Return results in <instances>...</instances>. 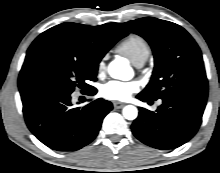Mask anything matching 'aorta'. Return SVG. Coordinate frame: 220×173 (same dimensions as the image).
Here are the masks:
<instances>
[{"mask_svg": "<svg viewBox=\"0 0 220 173\" xmlns=\"http://www.w3.org/2000/svg\"><path fill=\"white\" fill-rule=\"evenodd\" d=\"M108 73L114 79L129 80L131 78V68L123 59L112 61L108 66ZM122 113L127 120H134L138 116V110L133 105L125 106Z\"/></svg>", "mask_w": 220, "mask_h": 173, "instance_id": "762f6f07", "label": "aorta"}]
</instances>
